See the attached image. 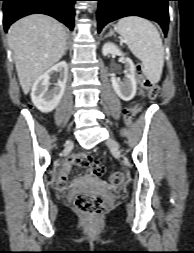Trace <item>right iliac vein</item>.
I'll return each instance as SVG.
<instances>
[{
  "label": "right iliac vein",
  "instance_id": "1",
  "mask_svg": "<svg viewBox=\"0 0 194 253\" xmlns=\"http://www.w3.org/2000/svg\"><path fill=\"white\" fill-rule=\"evenodd\" d=\"M71 144H72L71 142L68 143L69 146H70Z\"/></svg>",
  "mask_w": 194,
  "mask_h": 253
}]
</instances>
